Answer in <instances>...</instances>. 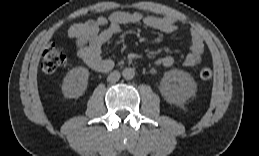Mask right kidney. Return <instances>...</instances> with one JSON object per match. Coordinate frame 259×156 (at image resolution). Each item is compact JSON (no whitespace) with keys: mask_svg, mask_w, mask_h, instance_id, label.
Instances as JSON below:
<instances>
[{"mask_svg":"<svg viewBox=\"0 0 259 156\" xmlns=\"http://www.w3.org/2000/svg\"><path fill=\"white\" fill-rule=\"evenodd\" d=\"M88 79V69L84 67L71 69L63 79V95L67 98H78L82 96L87 89Z\"/></svg>","mask_w":259,"mask_h":156,"instance_id":"ca27d5eb","label":"right kidney"}]
</instances>
